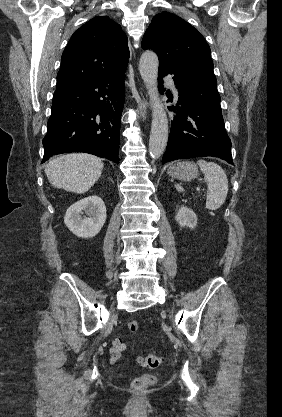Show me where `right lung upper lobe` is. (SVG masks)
<instances>
[{
  "instance_id": "right-lung-upper-lobe-1",
  "label": "right lung upper lobe",
  "mask_w": 282,
  "mask_h": 417,
  "mask_svg": "<svg viewBox=\"0 0 282 417\" xmlns=\"http://www.w3.org/2000/svg\"><path fill=\"white\" fill-rule=\"evenodd\" d=\"M127 37L108 16H96L71 36L57 74L60 89L126 70Z\"/></svg>"
}]
</instances>
